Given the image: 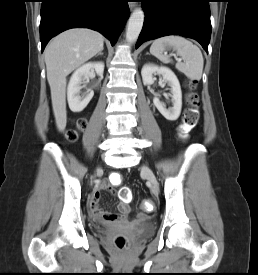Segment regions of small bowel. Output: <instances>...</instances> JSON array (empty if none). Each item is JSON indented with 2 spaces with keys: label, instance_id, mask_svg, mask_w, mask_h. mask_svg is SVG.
Here are the masks:
<instances>
[{
  "label": "small bowel",
  "instance_id": "1",
  "mask_svg": "<svg viewBox=\"0 0 258 275\" xmlns=\"http://www.w3.org/2000/svg\"><path fill=\"white\" fill-rule=\"evenodd\" d=\"M109 187H110V184L106 181H102L98 184L96 190L91 196V199L89 202V209H90V212L96 217H103L106 220H114L119 215L128 213L130 208H129L128 202L121 199V202L119 203V206H118V213L102 211L101 209H99L98 200L100 197V192Z\"/></svg>",
  "mask_w": 258,
  "mask_h": 275
}]
</instances>
